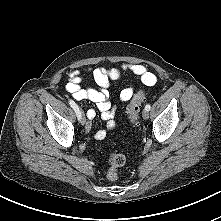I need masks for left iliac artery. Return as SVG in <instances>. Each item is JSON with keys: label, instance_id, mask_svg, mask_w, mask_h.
<instances>
[{"label": "left iliac artery", "instance_id": "44dca946", "mask_svg": "<svg viewBox=\"0 0 221 221\" xmlns=\"http://www.w3.org/2000/svg\"><path fill=\"white\" fill-rule=\"evenodd\" d=\"M150 109H151L150 104H147V105L145 106V110L149 111Z\"/></svg>", "mask_w": 221, "mask_h": 221}]
</instances>
